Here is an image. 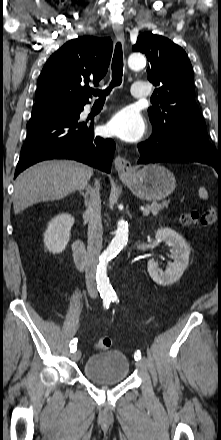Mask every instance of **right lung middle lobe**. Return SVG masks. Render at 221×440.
<instances>
[{
	"instance_id": "1",
	"label": "right lung middle lobe",
	"mask_w": 221,
	"mask_h": 440,
	"mask_svg": "<svg viewBox=\"0 0 221 440\" xmlns=\"http://www.w3.org/2000/svg\"><path fill=\"white\" fill-rule=\"evenodd\" d=\"M79 107H68V108H56V109H50V110H39L36 112L32 111V115H36V114H41V113H45V112H53V111H67V110H71V109H77Z\"/></svg>"
}]
</instances>
